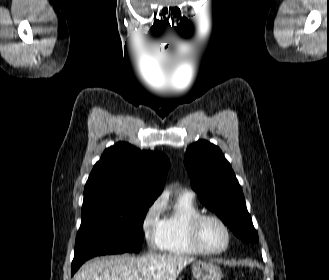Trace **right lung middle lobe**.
<instances>
[{"instance_id":"right-lung-middle-lobe-1","label":"right lung middle lobe","mask_w":329,"mask_h":280,"mask_svg":"<svg viewBox=\"0 0 329 280\" xmlns=\"http://www.w3.org/2000/svg\"><path fill=\"white\" fill-rule=\"evenodd\" d=\"M154 200L119 197L82 210L71 274L94 256L139 252L143 242V221Z\"/></svg>"}]
</instances>
